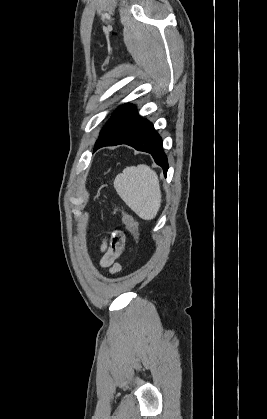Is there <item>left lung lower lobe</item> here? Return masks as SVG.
<instances>
[{
	"label": "left lung lower lobe",
	"mask_w": 267,
	"mask_h": 419,
	"mask_svg": "<svg viewBox=\"0 0 267 419\" xmlns=\"http://www.w3.org/2000/svg\"><path fill=\"white\" fill-rule=\"evenodd\" d=\"M127 144L138 151L150 153L166 175L168 161L162 148V139L153 125L140 117L134 105L115 114L110 128L97 140L94 151L104 146Z\"/></svg>",
	"instance_id": "1"
}]
</instances>
